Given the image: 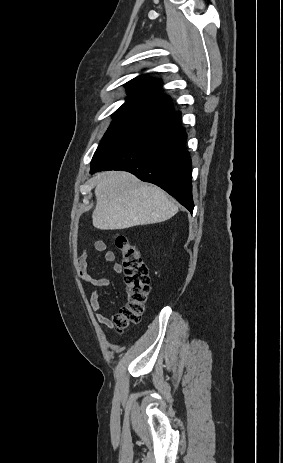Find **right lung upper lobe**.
Masks as SVG:
<instances>
[{"instance_id":"cb5924a9","label":"right lung upper lobe","mask_w":283,"mask_h":463,"mask_svg":"<svg viewBox=\"0 0 283 463\" xmlns=\"http://www.w3.org/2000/svg\"><path fill=\"white\" fill-rule=\"evenodd\" d=\"M128 102L158 110L162 115L173 111L169 96L160 94L161 80L138 76L126 83Z\"/></svg>"}]
</instances>
